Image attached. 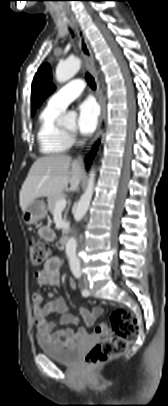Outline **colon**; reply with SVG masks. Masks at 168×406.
<instances>
[{
  "mask_svg": "<svg viewBox=\"0 0 168 406\" xmlns=\"http://www.w3.org/2000/svg\"><path fill=\"white\" fill-rule=\"evenodd\" d=\"M50 255V246L33 240L29 243V258L33 265L44 263ZM106 337L97 342L86 354L85 365L89 368L99 366L123 354L129 344L139 334V323L135 314L126 309L114 310L109 319L98 326ZM110 330L114 335H110Z\"/></svg>",
  "mask_w": 168,
  "mask_h": 406,
  "instance_id": "colon-1",
  "label": "colon"
}]
</instances>
